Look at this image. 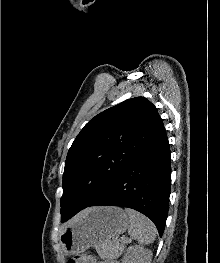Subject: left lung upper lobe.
Here are the masks:
<instances>
[{"label": "left lung upper lobe", "mask_w": 220, "mask_h": 263, "mask_svg": "<svg viewBox=\"0 0 220 263\" xmlns=\"http://www.w3.org/2000/svg\"><path fill=\"white\" fill-rule=\"evenodd\" d=\"M162 127L156 107L144 97L128 99L91 119L67 154L61 218L93 202Z\"/></svg>", "instance_id": "1"}]
</instances>
